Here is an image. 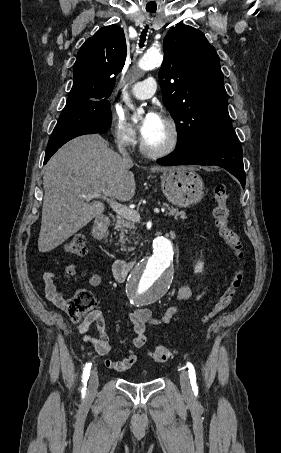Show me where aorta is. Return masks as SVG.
<instances>
[{
    "mask_svg": "<svg viewBox=\"0 0 281 453\" xmlns=\"http://www.w3.org/2000/svg\"><path fill=\"white\" fill-rule=\"evenodd\" d=\"M162 61L163 56L160 53L148 52L140 59L138 67L148 71L161 65ZM124 100L133 109L127 93H124ZM143 113L142 108L137 109L132 120L137 121ZM153 249V255L140 261L128 278L127 290L131 302L136 304L150 305L160 300L173 280L171 262L174 252L171 241L165 237H157L153 241Z\"/></svg>",
    "mask_w": 281,
    "mask_h": 453,
    "instance_id": "obj_1",
    "label": "aorta"
}]
</instances>
